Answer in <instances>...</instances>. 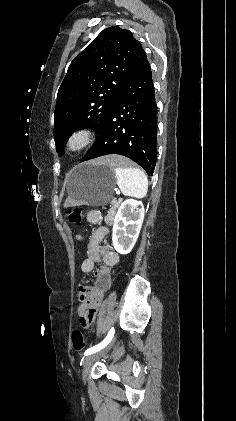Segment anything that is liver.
<instances>
[{
    "mask_svg": "<svg viewBox=\"0 0 236 421\" xmlns=\"http://www.w3.org/2000/svg\"><path fill=\"white\" fill-rule=\"evenodd\" d=\"M98 162H100V164H109V166H115L116 162H118V164L126 162V158H122V156L118 158L116 154H112V156H103V158H101V160H98ZM68 202H71L70 198H67L65 206H67Z\"/></svg>",
    "mask_w": 236,
    "mask_h": 421,
    "instance_id": "obj_1",
    "label": "liver"
}]
</instances>
